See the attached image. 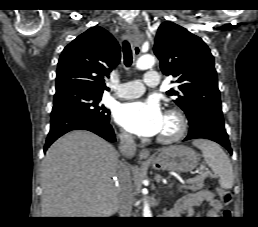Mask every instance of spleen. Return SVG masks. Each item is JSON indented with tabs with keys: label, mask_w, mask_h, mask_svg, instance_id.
I'll list each match as a JSON object with an SVG mask.
<instances>
[{
	"label": "spleen",
	"mask_w": 258,
	"mask_h": 227,
	"mask_svg": "<svg viewBox=\"0 0 258 227\" xmlns=\"http://www.w3.org/2000/svg\"><path fill=\"white\" fill-rule=\"evenodd\" d=\"M193 145L202 151L205 162L219 177L220 186L231 189L234 182L233 168L222 148L217 143L205 139L194 140Z\"/></svg>",
	"instance_id": "1"
}]
</instances>
